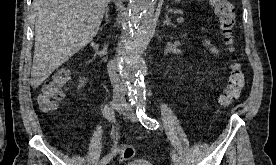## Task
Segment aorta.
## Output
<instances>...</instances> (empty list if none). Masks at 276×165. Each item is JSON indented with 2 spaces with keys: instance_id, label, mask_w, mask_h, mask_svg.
Returning a JSON list of instances; mask_svg holds the SVG:
<instances>
[{
  "instance_id": "1",
  "label": "aorta",
  "mask_w": 276,
  "mask_h": 165,
  "mask_svg": "<svg viewBox=\"0 0 276 165\" xmlns=\"http://www.w3.org/2000/svg\"><path fill=\"white\" fill-rule=\"evenodd\" d=\"M157 0H130L124 35L120 43L119 70L131 92L132 100H145L144 74L146 66L142 53L152 33Z\"/></svg>"
}]
</instances>
